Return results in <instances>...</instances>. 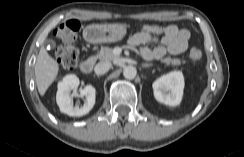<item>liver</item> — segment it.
<instances>
[{
	"instance_id": "obj_1",
	"label": "liver",
	"mask_w": 244,
	"mask_h": 157,
	"mask_svg": "<svg viewBox=\"0 0 244 157\" xmlns=\"http://www.w3.org/2000/svg\"><path fill=\"white\" fill-rule=\"evenodd\" d=\"M59 66L44 47H41L35 64L36 84L41 96H44L47 89L54 82L58 75Z\"/></svg>"
}]
</instances>
